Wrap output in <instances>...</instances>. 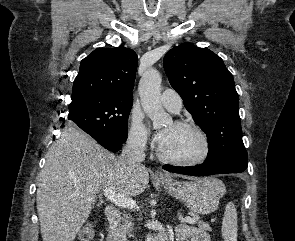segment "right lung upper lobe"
<instances>
[{
    "mask_svg": "<svg viewBox=\"0 0 295 241\" xmlns=\"http://www.w3.org/2000/svg\"><path fill=\"white\" fill-rule=\"evenodd\" d=\"M138 58L125 47L98 48L81 61L74 80L72 102L86 98L133 101Z\"/></svg>",
    "mask_w": 295,
    "mask_h": 241,
    "instance_id": "obj_1",
    "label": "right lung upper lobe"
}]
</instances>
